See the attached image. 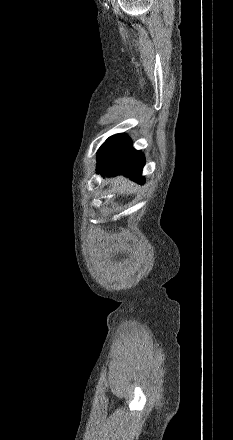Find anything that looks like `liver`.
Instances as JSON below:
<instances>
[{
  "label": "liver",
  "mask_w": 233,
  "mask_h": 440,
  "mask_svg": "<svg viewBox=\"0 0 233 440\" xmlns=\"http://www.w3.org/2000/svg\"><path fill=\"white\" fill-rule=\"evenodd\" d=\"M112 184H114V186H117L121 188L120 193H130L131 192V185H129V182L124 179L123 177H117L114 179H110L109 180Z\"/></svg>",
  "instance_id": "liver-1"
}]
</instances>
